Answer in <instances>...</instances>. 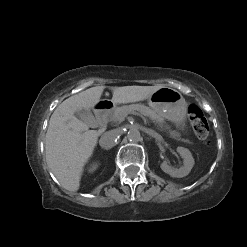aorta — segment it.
<instances>
[{
  "label": "aorta",
  "mask_w": 247,
  "mask_h": 247,
  "mask_svg": "<svg viewBox=\"0 0 247 247\" xmlns=\"http://www.w3.org/2000/svg\"><path fill=\"white\" fill-rule=\"evenodd\" d=\"M127 138L129 139V141L136 143L142 140V136L141 133L138 129L136 128H131L128 130L127 132Z\"/></svg>",
  "instance_id": "1"
}]
</instances>
